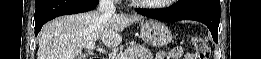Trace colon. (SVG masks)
<instances>
[{
	"instance_id": "colon-1",
	"label": "colon",
	"mask_w": 261,
	"mask_h": 59,
	"mask_svg": "<svg viewBox=\"0 0 261 59\" xmlns=\"http://www.w3.org/2000/svg\"><path fill=\"white\" fill-rule=\"evenodd\" d=\"M194 46H195L197 55L192 58H200V59L208 58L209 48H208L207 43L204 40L195 39ZM169 55L171 58H175V59L190 58V57H186V55H184L183 50L180 47H175V48L171 49V51L169 52Z\"/></svg>"
}]
</instances>
